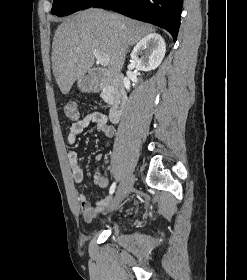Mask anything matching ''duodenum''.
Instances as JSON below:
<instances>
[{"label": "duodenum", "instance_id": "1", "mask_svg": "<svg viewBox=\"0 0 247 280\" xmlns=\"http://www.w3.org/2000/svg\"><path fill=\"white\" fill-rule=\"evenodd\" d=\"M86 86L91 91H100L106 87L109 88V98L111 103L110 119L117 122L126 106L127 94L121 75H110L100 69H92Z\"/></svg>", "mask_w": 247, "mask_h": 280}]
</instances>
